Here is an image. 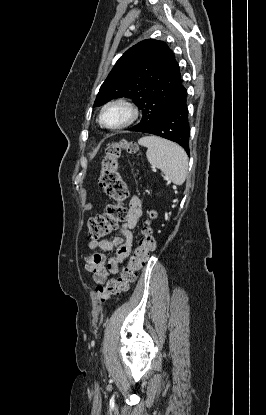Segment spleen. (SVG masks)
Instances as JSON below:
<instances>
[{
  "label": "spleen",
  "mask_w": 266,
  "mask_h": 415,
  "mask_svg": "<svg viewBox=\"0 0 266 415\" xmlns=\"http://www.w3.org/2000/svg\"><path fill=\"white\" fill-rule=\"evenodd\" d=\"M147 147L146 156L149 163L161 169L164 180L175 185H182L188 172V157L178 144L157 136H145L138 140Z\"/></svg>",
  "instance_id": "spleen-1"
}]
</instances>
